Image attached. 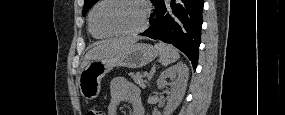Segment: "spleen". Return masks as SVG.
Returning a JSON list of instances; mask_svg holds the SVG:
<instances>
[{
  "label": "spleen",
  "instance_id": "spleen-1",
  "mask_svg": "<svg viewBox=\"0 0 285 115\" xmlns=\"http://www.w3.org/2000/svg\"><path fill=\"white\" fill-rule=\"evenodd\" d=\"M155 48L159 53L160 62L163 66H168L180 58L178 51L168 44L159 42L155 44Z\"/></svg>",
  "mask_w": 285,
  "mask_h": 115
}]
</instances>
